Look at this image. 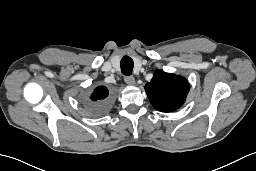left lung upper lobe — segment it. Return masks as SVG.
Segmentation results:
<instances>
[{
  "instance_id": "5c2ea615",
  "label": "left lung upper lobe",
  "mask_w": 256,
  "mask_h": 171,
  "mask_svg": "<svg viewBox=\"0 0 256 171\" xmlns=\"http://www.w3.org/2000/svg\"><path fill=\"white\" fill-rule=\"evenodd\" d=\"M148 98L154 108L171 112L183 105L189 92V83L181 76L156 71L151 82L145 85Z\"/></svg>"
}]
</instances>
